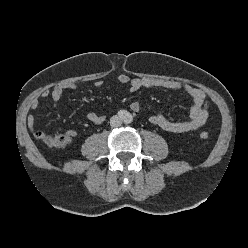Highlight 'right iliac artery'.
<instances>
[{
  "label": "right iliac artery",
  "mask_w": 248,
  "mask_h": 248,
  "mask_svg": "<svg viewBox=\"0 0 248 248\" xmlns=\"http://www.w3.org/2000/svg\"><path fill=\"white\" fill-rule=\"evenodd\" d=\"M118 116H119V118L124 119L127 116V112L125 110H120L118 112Z\"/></svg>",
  "instance_id": "1"
}]
</instances>
